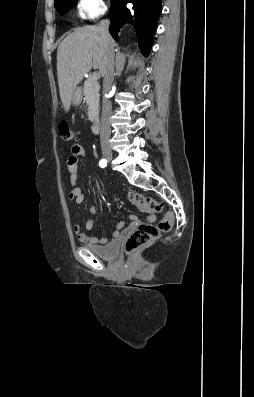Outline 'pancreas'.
Instances as JSON below:
<instances>
[{
    "mask_svg": "<svg viewBox=\"0 0 254 397\" xmlns=\"http://www.w3.org/2000/svg\"><path fill=\"white\" fill-rule=\"evenodd\" d=\"M99 91L100 85L97 80H93L92 77L88 78L84 82V96L87 104V115L88 120L93 122L99 114Z\"/></svg>",
    "mask_w": 254,
    "mask_h": 397,
    "instance_id": "1",
    "label": "pancreas"
}]
</instances>
